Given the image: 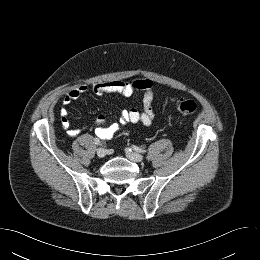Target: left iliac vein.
I'll use <instances>...</instances> for the list:
<instances>
[{
  "instance_id": "1",
  "label": "left iliac vein",
  "mask_w": 260,
  "mask_h": 260,
  "mask_svg": "<svg viewBox=\"0 0 260 260\" xmlns=\"http://www.w3.org/2000/svg\"><path fill=\"white\" fill-rule=\"evenodd\" d=\"M126 156L129 160L134 161V162H141L143 160V156L141 154L132 152L129 149L126 150Z\"/></svg>"
}]
</instances>
